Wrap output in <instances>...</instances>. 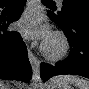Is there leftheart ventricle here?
Masks as SVG:
<instances>
[{
  "label": "left heart ventricle",
  "mask_w": 89,
  "mask_h": 89,
  "mask_svg": "<svg viewBox=\"0 0 89 89\" xmlns=\"http://www.w3.org/2000/svg\"><path fill=\"white\" fill-rule=\"evenodd\" d=\"M55 46H56V43L53 42V43L51 44V47H55Z\"/></svg>",
  "instance_id": "obj_1"
}]
</instances>
